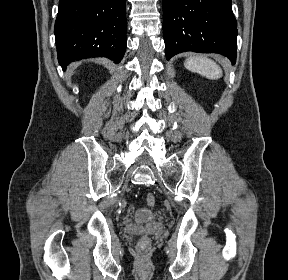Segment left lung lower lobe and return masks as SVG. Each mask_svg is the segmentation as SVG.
<instances>
[{"label": "left lung lower lobe", "instance_id": "0a47b994", "mask_svg": "<svg viewBox=\"0 0 288 280\" xmlns=\"http://www.w3.org/2000/svg\"><path fill=\"white\" fill-rule=\"evenodd\" d=\"M166 58L193 51L236 59L237 22L231 0H162Z\"/></svg>", "mask_w": 288, "mask_h": 280}]
</instances>
